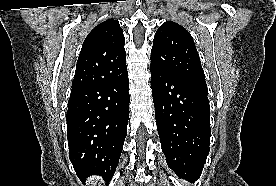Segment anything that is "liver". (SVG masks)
<instances>
[{
  "label": "liver",
  "mask_w": 276,
  "mask_h": 186,
  "mask_svg": "<svg viewBox=\"0 0 276 186\" xmlns=\"http://www.w3.org/2000/svg\"><path fill=\"white\" fill-rule=\"evenodd\" d=\"M94 180H95V179H94V178H92V179H91V182L95 183V181H94Z\"/></svg>",
  "instance_id": "6515ba94"
}]
</instances>
